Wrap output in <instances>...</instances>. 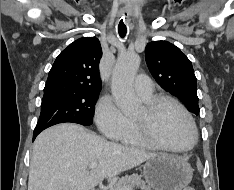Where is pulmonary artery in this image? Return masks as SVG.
Returning a JSON list of instances; mask_svg holds the SVG:
<instances>
[{
  "label": "pulmonary artery",
  "mask_w": 234,
  "mask_h": 190,
  "mask_svg": "<svg viewBox=\"0 0 234 190\" xmlns=\"http://www.w3.org/2000/svg\"><path fill=\"white\" fill-rule=\"evenodd\" d=\"M135 90L141 97H149L153 93L151 79L146 75H139L135 81Z\"/></svg>",
  "instance_id": "1"
}]
</instances>
